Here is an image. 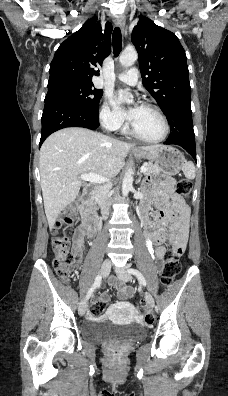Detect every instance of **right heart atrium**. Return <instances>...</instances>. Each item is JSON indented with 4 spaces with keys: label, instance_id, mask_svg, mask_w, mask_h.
I'll return each instance as SVG.
<instances>
[{
    "label": "right heart atrium",
    "instance_id": "1",
    "mask_svg": "<svg viewBox=\"0 0 228 396\" xmlns=\"http://www.w3.org/2000/svg\"><path fill=\"white\" fill-rule=\"evenodd\" d=\"M99 119L104 128L110 131L121 130L125 125L123 119L111 108L108 97L105 98L101 106Z\"/></svg>",
    "mask_w": 228,
    "mask_h": 396
}]
</instances>
